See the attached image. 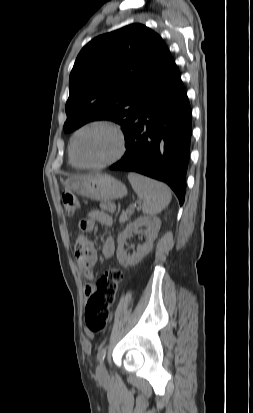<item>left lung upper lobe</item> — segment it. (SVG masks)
<instances>
[{
  "instance_id": "5c2ea615",
  "label": "left lung upper lobe",
  "mask_w": 253,
  "mask_h": 413,
  "mask_svg": "<svg viewBox=\"0 0 253 413\" xmlns=\"http://www.w3.org/2000/svg\"><path fill=\"white\" fill-rule=\"evenodd\" d=\"M172 60L162 38L142 24L94 38L70 73L64 131L106 119L120 124L125 135Z\"/></svg>"
}]
</instances>
